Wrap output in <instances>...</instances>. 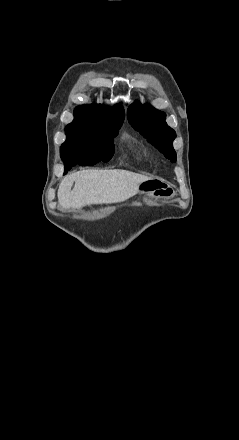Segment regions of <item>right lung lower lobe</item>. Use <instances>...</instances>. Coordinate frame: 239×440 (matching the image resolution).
Wrapping results in <instances>:
<instances>
[{
	"label": "right lung lower lobe",
	"instance_id": "right-lung-lower-lobe-1",
	"mask_svg": "<svg viewBox=\"0 0 239 440\" xmlns=\"http://www.w3.org/2000/svg\"><path fill=\"white\" fill-rule=\"evenodd\" d=\"M65 164V173L74 165H94L99 161L107 162L114 154V150H104L97 147H72L60 151Z\"/></svg>",
	"mask_w": 239,
	"mask_h": 440
}]
</instances>
